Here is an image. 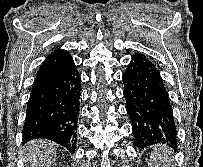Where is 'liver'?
<instances>
[{
  "instance_id": "liver-1",
  "label": "liver",
  "mask_w": 203,
  "mask_h": 167,
  "mask_svg": "<svg viewBox=\"0 0 203 167\" xmlns=\"http://www.w3.org/2000/svg\"><path fill=\"white\" fill-rule=\"evenodd\" d=\"M26 167H51L56 159V149L48 140H33L24 147Z\"/></svg>"
}]
</instances>
